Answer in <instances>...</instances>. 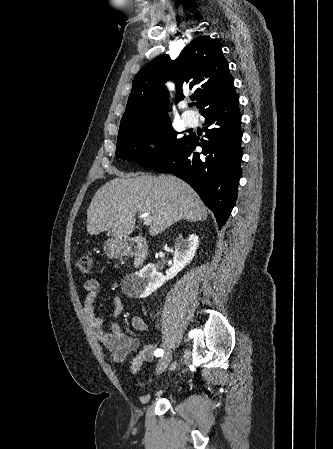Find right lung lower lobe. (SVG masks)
Segmentation results:
<instances>
[{
  "instance_id": "obj_1",
  "label": "right lung lower lobe",
  "mask_w": 333,
  "mask_h": 449,
  "mask_svg": "<svg viewBox=\"0 0 333 449\" xmlns=\"http://www.w3.org/2000/svg\"><path fill=\"white\" fill-rule=\"evenodd\" d=\"M205 117L206 139L189 134L163 163L153 168L174 173L186 181L214 213L219 227L234 207L241 174V114L235 91L210 102L200 111ZM196 146L202 152H195Z\"/></svg>"
}]
</instances>
